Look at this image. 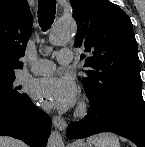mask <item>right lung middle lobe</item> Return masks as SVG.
<instances>
[{
  "label": "right lung middle lobe",
  "instance_id": "dd1d6c3e",
  "mask_svg": "<svg viewBox=\"0 0 145 147\" xmlns=\"http://www.w3.org/2000/svg\"><path fill=\"white\" fill-rule=\"evenodd\" d=\"M15 79V74L0 75V107L18 106L28 97L20 91Z\"/></svg>",
  "mask_w": 145,
  "mask_h": 147
}]
</instances>
